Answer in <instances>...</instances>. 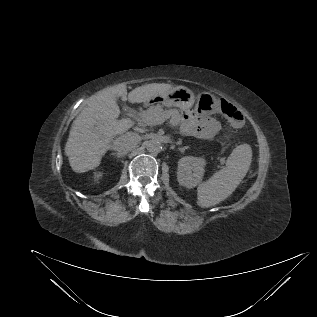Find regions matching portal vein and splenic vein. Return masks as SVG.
Instances as JSON below:
<instances>
[{
  "mask_svg": "<svg viewBox=\"0 0 317 317\" xmlns=\"http://www.w3.org/2000/svg\"><path fill=\"white\" fill-rule=\"evenodd\" d=\"M166 117L163 114H158L157 116L150 118L149 123L152 125H159L165 122Z\"/></svg>",
  "mask_w": 317,
  "mask_h": 317,
  "instance_id": "1",
  "label": "portal vein and splenic vein"
}]
</instances>
